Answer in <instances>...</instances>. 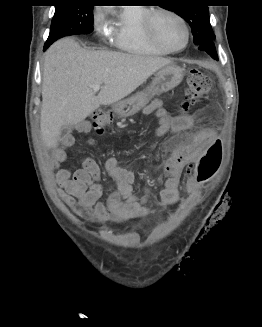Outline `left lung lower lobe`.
<instances>
[{"label": "left lung lower lobe", "instance_id": "left-lung-lower-lobe-1", "mask_svg": "<svg viewBox=\"0 0 262 327\" xmlns=\"http://www.w3.org/2000/svg\"><path fill=\"white\" fill-rule=\"evenodd\" d=\"M198 49L199 50H204L211 57H213L214 59H216V60L218 59L217 58V53H216L214 41L202 43L201 45L198 46Z\"/></svg>", "mask_w": 262, "mask_h": 327}]
</instances>
